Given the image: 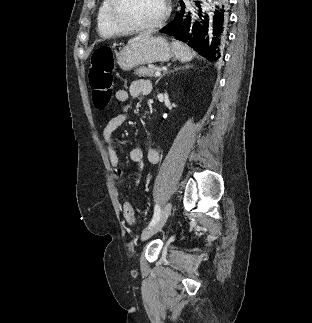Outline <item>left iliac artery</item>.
Listing matches in <instances>:
<instances>
[{
  "instance_id": "obj_1",
  "label": "left iliac artery",
  "mask_w": 312,
  "mask_h": 323,
  "mask_svg": "<svg viewBox=\"0 0 312 323\" xmlns=\"http://www.w3.org/2000/svg\"><path fill=\"white\" fill-rule=\"evenodd\" d=\"M160 213H161V209H160L159 205H155L153 219L149 225L154 224L159 219Z\"/></svg>"
}]
</instances>
